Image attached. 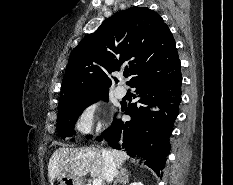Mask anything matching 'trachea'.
Wrapping results in <instances>:
<instances>
[{"label": "trachea", "instance_id": "trachea-1", "mask_svg": "<svg viewBox=\"0 0 233 185\" xmlns=\"http://www.w3.org/2000/svg\"><path fill=\"white\" fill-rule=\"evenodd\" d=\"M128 74H129V72H128V71H125V72H124V77H128Z\"/></svg>", "mask_w": 233, "mask_h": 185}]
</instances>
